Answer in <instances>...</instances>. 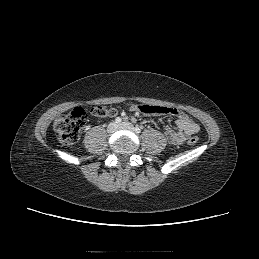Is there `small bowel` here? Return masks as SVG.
<instances>
[{"instance_id":"small-bowel-1","label":"small bowel","mask_w":259,"mask_h":259,"mask_svg":"<svg viewBox=\"0 0 259 259\" xmlns=\"http://www.w3.org/2000/svg\"><path fill=\"white\" fill-rule=\"evenodd\" d=\"M148 106V107H147ZM130 108L137 113L150 114H169L174 117L177 130L169 127L165 128L164 136L172 144L182 143L188 136L199 131V125L193 121L186 113L177 108L164 106L139 105L133 103Z\"/></svg>"}]
</instances>
